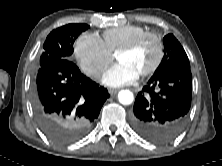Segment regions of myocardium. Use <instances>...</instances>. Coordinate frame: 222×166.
Listing matches in <instances>:
<instances>
[{
	"instance_id": "obj_1",
	"label": "myocardium",
	"mask_w": 222,
	"mask_h": 166,
	"mask_svg": "<svg viewBox=\"0 0 222 166\" xmlns=\"http://www.w3.org/2000/svg\"><path fill=\"white\" fill-rule=\"evenodd\" d=\"M149 38L153 39L156 42L157 54H156V58L153 64L143 73L139 74L141 77H146L153 74L161 65L163 57H164V44L161 37L157 33H154V32H145L135 37L132 41H130L128 44H126L125 46H123L116 52L117 55L132 52L136 48H138L141 43H143L146 39H149Z\"/></svg>"
}]
</instances>
